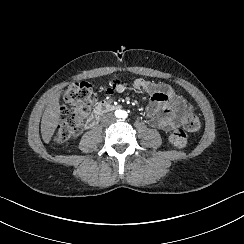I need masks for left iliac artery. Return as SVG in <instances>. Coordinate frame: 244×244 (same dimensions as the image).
<instances>
[{
    "mask_svg": "<svg viewBox=\"0 0 244 244\" xmlns=\"http://www.w3.org/2000/svg\"><path fill=\"white\" fill-rule=\"evenodd\" d=\"M122 116H123L124 118H126V117L128 116L127 112H126V111H123V112H122Z\"/></svg>",
    "mask_w": 244,
    "mask_h": 244,
    "instance_id": "1",
    "label": "left iliac artery"
}]
</instances>
